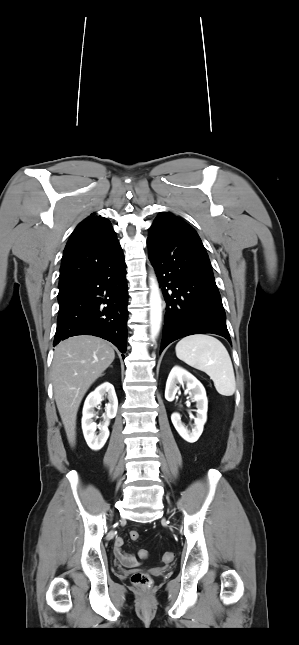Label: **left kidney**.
<instances>
[{"instance_id": "5707ae66", "label": "left kidney", "mask_w": 299, "mask_h": 645, "mask_svg": "<svg viewBox=\"0 0 299 645\" xmlns=\"http://www.w3.org/2000/svg\"><path fill=\"white\" fill-rule=\"evenodd\" d=\"M177 384H186L187 391L196 402V417L192 430H188L181 421L179 413L171 415L172 423L179 435L189 443L196 442L203 432L204 424L207 420L208 400L203 385L188 371L179 366L172 368L165 389V398L167 401H173L178 390Z\"/></svg>"}]
</instances>
